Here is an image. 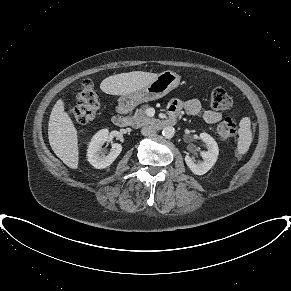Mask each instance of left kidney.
<instances>
[{
    "instance_id": "left-kidney-1",
    "label": "left kidney",
    "mask_w": 291,
    "mask_h": 291,
    "mask_svg": "<svg viewBox=\"0 0 291 291\" xmlns=\"http://www.w3.org/2000/svg\"><path fill=\"white\" fill-rule=\"evenodd\" d=\"M200 139L206 144L207 151L202 152L203 162L195 163L189 155L185 156V162L189 169L196 175H204L216 163L219 154V148L216 141L209 134L203 132Z\"/></svg>"
}]
</instances>
